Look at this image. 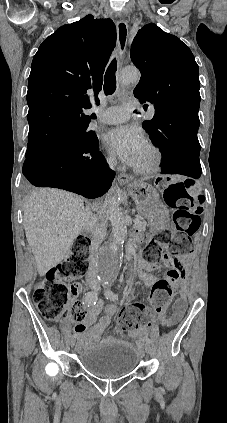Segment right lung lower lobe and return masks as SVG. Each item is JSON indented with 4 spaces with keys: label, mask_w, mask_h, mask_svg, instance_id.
Here are the masks:
<instances>
[{
    "label": "right lung lower lobe",
    "mask_w": 227,
    "mask_h": 423,
    "mask_svg": "<svg viewBox=\"0 0 227 423\" xmlns=\"http://www.w3.org/2000/svg\"><path fill=\"white\" fill-rule=\"evenodd\" d=\"M67 147L49 148L26 158L24 176L37 187L60 188L86 198L104 195L115 173L108 168L98 141L82 150Z\"/></svg>",
    "instance_id": "obj_1"
}]
</instances>
